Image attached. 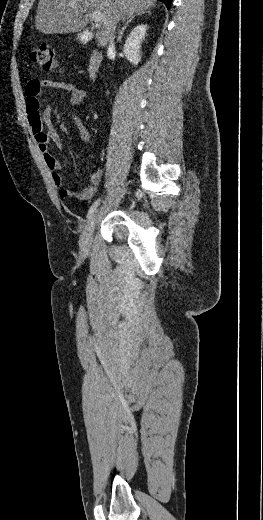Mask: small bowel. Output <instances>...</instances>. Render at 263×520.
Wrapping results in <instances>:
<instances>
[{
    "instance_id": "obj_1",
    "label": "small bowel",
    "mask_w": 263,
    "mask_h": 520,
    "mask_svg": "<svg viewBox=\"0 0 263 520\" xmlns=\"http://www.w3.org/2000/svg\"><path fill=\"white\" fill-rule=\"evenodd\" d=\"M43 89H61L64 90L74 105L83 102L86 97V92L76 85L66 81H57L51 79H32L25 88L26 96V110L28 114V121L36 140L37 146L42 153L43 160L51 171V178L53 184L59 189L60 195L63 198L74 197L79 200H90L97 192L99 183L101 181V170L94 171L89 177V184L80 192L72 193L65 187V181L59 173L60 163L49 152V142L52 141L59 149L63 147V142L51 123V111L48 108L42 109L40 106V95ZM73 121L79 131L81 138L88 144L92 145V137L77 116L73 117Z\"/></svg>"
}]
</instances>
